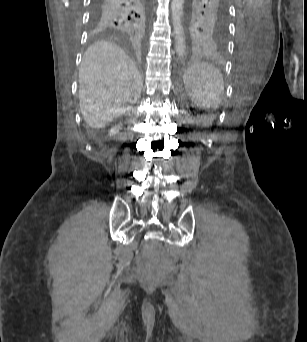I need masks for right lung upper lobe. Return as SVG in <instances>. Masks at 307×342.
<instances>
[{"label":"right lung upper lobe","mask_w":307,"mask_h":342,"mask_svg":"<svg viewBox=\"0 0 307 342\" xmlns=\"http://www.w3.org/2000/svg\"><path fill=\"white\" fill-rule=\"evenodd\" d=\"M94 33L107 38L140 42L148 27L147 0H94Z\"/></svg>","instance_id":"obj_1"}]
</instances>
